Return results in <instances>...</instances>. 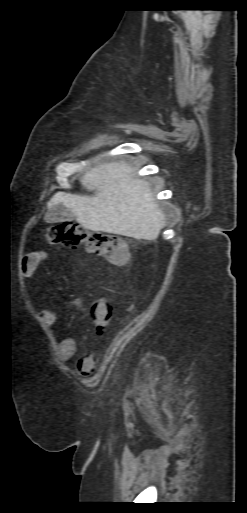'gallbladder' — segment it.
Returning <instances> with one entry per match:
<instances>
[{"label": "gallbladder", "instance_id": "obj_1", "mask_svg": "<svg viewBox=\"0 0 247 513\" xmlns=\"http://www.w3.org/2000/svg\"><path fill=\"white\" fill-rule=\"evenodd\" d=\"M75 219L74 214L64 205H56L49 213L46 220L49 223H58L72 221Z\"/></svg>", "mask_w": 247, "mask_h": 513}]
</instances>
